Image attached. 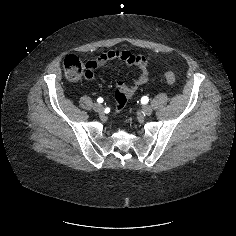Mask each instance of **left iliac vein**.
<instances>
[{"mask_svg":"<svg viewBox=\"0 0 236 236\" xmlns=\"http://www.w3.org/2000/svg\"><path fill=\"white\" fill-rule=\"evenodd\" d=\"M142 111H143V113H144L145 115H151L152 112H153V109H152V107H151L150 105H144V106L142 107Z\"/></svg>","mask_w":236,"mask_h":236,"instance_id":"obj_1","label":"left iliac vein"}]
</instances>
